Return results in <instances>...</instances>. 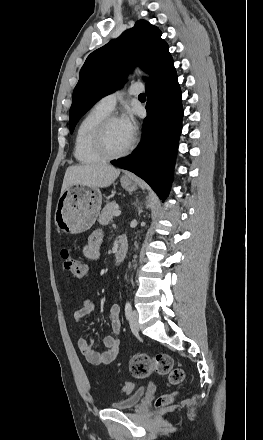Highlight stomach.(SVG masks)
Instances as JSON below:
<instances>
[{
    "mask_svg": "<svg viewBox=\"0 0 263 440\" xmlns=\"http://www.w3.org/2000/svg\"><path fill=\"white\" fill-rule=\"evenodd\" d=\"M121 185L129 192L137 189V184L127 177L121 179ZM101 204L102 195L98 188L72 185L58 198L54 217L56 226L67 234L82 233L95 223Z\"/></svg>",
    "mask_w": 263,
    "mask_h": 440,
    "instance_id": "1",
    "label": "stomach"
}]
</instances>
